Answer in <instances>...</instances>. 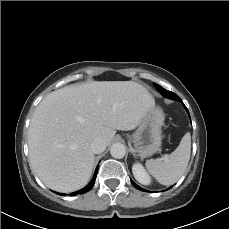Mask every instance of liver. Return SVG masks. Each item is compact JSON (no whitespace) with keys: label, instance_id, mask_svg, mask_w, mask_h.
<instances>
[{"label":"liver","instance_id":"6515ba94","mask_svg":"<svg viewBox=\"0 0 229 229\" xmlns=\"http://www.w3.org/2000/svg\"><path fill=\"white\" fill-rule=\"evenodd\" d=\"M155 106L134 81H91L48 94L28 131L31 169L48 188L69 193L84 187L94 167L91 143L109 145L116 130H133Z\"/></svg>","mask_w":229,"mask_h":229}]
</instances>
